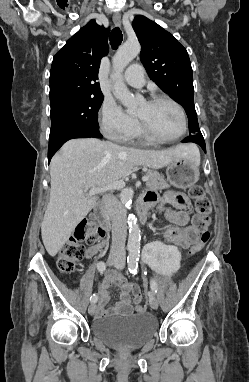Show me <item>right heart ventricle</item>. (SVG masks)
Listing matches in <instances>:
<instances>
[{
	"label": "right heart ventricle",
	"mask_w": 249,
	"mask_h": 382,
	"mask_svg": "<svg viewBox=\"0 0 249 382\" xmlns=\"http://www.w3.org/2000/svg\"><path fill=\"white\" fill-rule=\"evenodd\" d=\"M132 139H139L141 141H151L144 137V135L141 133L140 129L138 128L136 134L132 137Z\"/></svg>",
	"instance_id": "e07e8e85"
}]
</instances>
